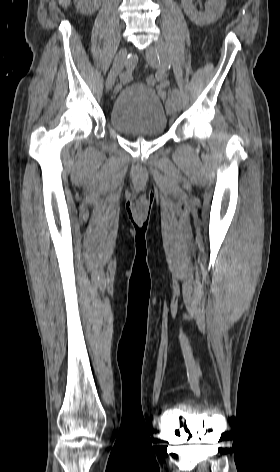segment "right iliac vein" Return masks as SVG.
Here are the masks:
<instances>
[{"instance_id": "right-iliac-vein-1", "label": "right iliac vein", "mask_w": 280, "mask_h": 472, "mask_svg": "<svg viewBox=\"0 0 280 472\" xmlns=\"http://www.w3.org/2000/svg\"><path fill=\"white\" fill-rule=\"evenodd\" d=\"M126 56H127V49L126 48L120 49V51L118 52V54L116 55V57L114 59L112 68H111V70L108 74L107 80H106V89L107 90H110L113 87L117 75L123 69Z\"/></svg>"}]
</instances>
